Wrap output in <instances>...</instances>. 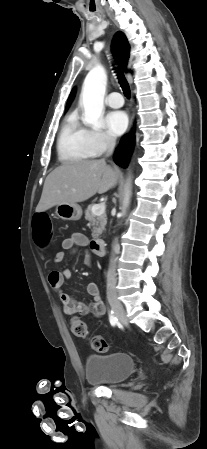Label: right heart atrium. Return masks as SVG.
I'll list each match as a JSON object with an SVG mask.
<instances>
[{"instance_id": "right-heart-atrium-1", "label": "right heart atrium", "mask_w": 207, "mask_h": 449, "mask_svg": "<svg viewBox=\"0 0 207 449\" xmlns=\"http://www.w3.org/2000/svg\"><path fill=\"white\" fill-rule=\"evenodd\" d=\"M89 145L95 155H101L115 145L113 137L102 130H87Z\"/></svg>"}]
</instances>
